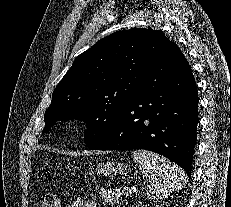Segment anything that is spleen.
Returning a JSON list of instances; mask_svg holds the SVG:
<instances>
[{"instance_id":"spleen-1","label":"spleen","mask_w":231,"mask_h":207,"mask_svg":"<svg viewBox=\"0 0 231 207\" xmlns=\"http://www.w3.org/2000/svg\"><path fill=\"white\" fill-rule=\"evenodd\" d=\"M133 160L147 177L146 187L150 200H161L186 184L185 172L164 157L146 150L133 152Z\"/></svg>"}]
</instances>
